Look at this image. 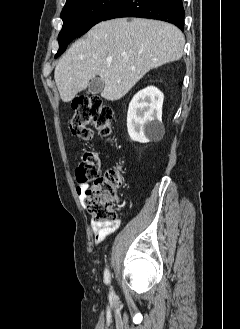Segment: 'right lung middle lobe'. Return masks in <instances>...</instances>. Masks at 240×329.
Wrapping results in <instances>:
<instances>
[{"instance_id": "obj_1", "label": "right lung middle lobe", "mask_w": 240, "mask_h": 329, "mask_svg": "<svg viewBox=\"0 0 240 329\" xmlns=\"http://www.w3.org/2000/svg\"><path fill=\"white\" fill-rule=\"evenodd\" d=\"M122 0H74L66 4L61 12L63 27L59 33V50L55 57L65 51L75 38L86 33Z\"/></svg>"}]
</instances>
